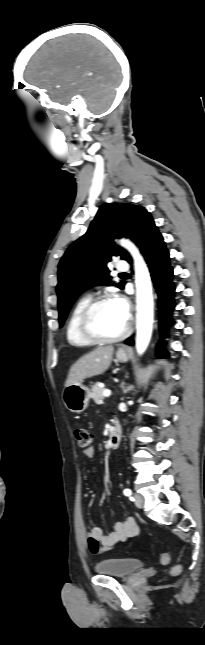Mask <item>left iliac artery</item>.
Wrapping results in <instances>:
<instances>
[{
  "instance_id": "44dca946",
  "label": "left iliac artery",
  "mask_w": 205,
  "mask_h": 645,
  "mask_svg": "<svg viewBox=\"0 0 205 645\" xmlns=\"http://www.w3.org/2000/svg\"><path fill=\"white\" fill-rule=\"evenodd\" d=\"M124 494H125L126 496H131V495H132V491H131L130 489H125V490H124ZM131 498H132V497H131Z\"/></svg>"
}]
</instances>
